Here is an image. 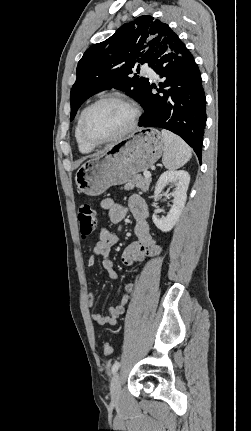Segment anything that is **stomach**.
<instances>
[{
	"label": "stomach",
	"mask_w": 251,
	"mask_h": 431,
	"mask_svg": "<svg viewBox=\"0 0 251 431\" xmlns=\"http://www.w3.org/2000/svg\"><path fill=\"white\" fill-rule=\"evenodd\" d=\"M164 142L156 129H140L86 161L76 172L80 192L98 196L109 187L128 182L147 171L163 154Z\"/></svg>",
	"instance_id": "1"
}]
</instances>
